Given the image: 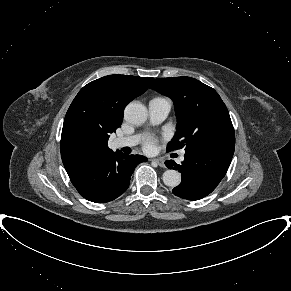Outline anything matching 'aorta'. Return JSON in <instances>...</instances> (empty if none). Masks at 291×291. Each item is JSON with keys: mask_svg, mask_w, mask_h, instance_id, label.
Wrapping results in <instances>:
<instances>
[{"mask_svg": "<svg viewBox=\"0 0 291 291\" xmlns=\"http://www.w3.org/2000/svg\"><path fill=\"white\" fill-rule=\"evenodd\" d=\"M148 116L147 108L140 103L131 102L124 110V118L126 121L140 125L143 124ZM163 182L166 186L174 188L178 186L181 182V175L178 171L173 169H168L163 173Z\"/></svg>", "mask_w": 291, "mask_h": 291, "instance_id": "aorta-1", "label": "aorta"}]
</instances>
